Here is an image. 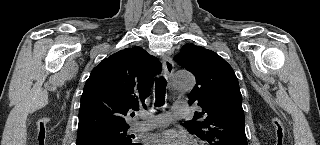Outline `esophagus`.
Wrapping results in <instances>:
<instances>
[{
  "label": "esophagus",
  "instance_id": "1",
  "mask_svg": "<svg viewBox=\"0 0 320 145\" xmlns=\"http://www.w3.org/2000/svg\"><path fill=\"white\" fill-rule=\"evenodd\" d=\"M162 63L165 75L167 77H170L174 72V65L171 58L169 56H164L162 59Z\"/></svg>",
  "mask_w": 320,
  "mask_h": 145
}]
</instances>
